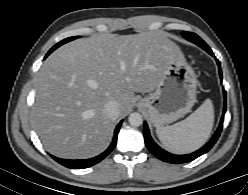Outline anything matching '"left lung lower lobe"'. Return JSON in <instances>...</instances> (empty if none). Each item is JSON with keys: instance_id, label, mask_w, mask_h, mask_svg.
Here are the masks:
<instances>
[{"instance_id": "left-lung-lower-lobe-1", "label": "left lung lower lobe", "mask_w": 248, "mask_h": 195, "mask_svg": "<svg viewBox=\"0 0 248 195\" xmlns=\"http://www.w3.org/2000/svg\"><path fill=\"white\" fill-rule=\"evenodd\" d=\"M205 51H207L210 55H212L214 57L213 52L211 51V49H204ZM217 64L219 67V73H220V79L222 81V72L220 69V62L218 60ZM224 92V110H223V114L221 117V121L219 124V127L217 129V131L215 132V134L213 135L212 139L206 144L204 145L202 148H200L199 150H197L196 152H193L191 154H187V155H174L171 154L163 149H161L152 139V137L150 136V132L148 129V126L146 124V122H144V138H145V143L147 148L149 149V151L155 155L157 158H159L162 161L168 162V163H185V162H190L194 159H196L197 157L201 156L202 154L208 152L213 145L215 144V142L218 140L220 133L222 131V127H223V120H224V114L226 112V92L225 90H223Z\"/></svg>"}]
</instances>
